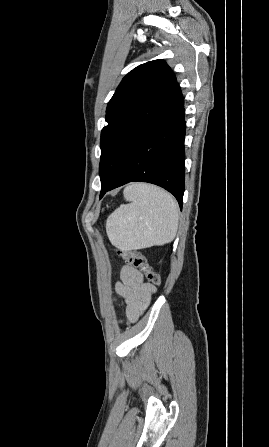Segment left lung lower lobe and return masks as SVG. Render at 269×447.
Here are the masks:
<instances>
[{
    "label": "left lung lower lobe",
    "mask_w": 269,
    "mask_h": 447,
    "mask_svg": "<svg viewBox=\"0 0 269 447\" xmlns=\"http://www.w3.org/2000/svg\"><path fill=\"white\" fill-rule=\"evenodd\" d=\"M185 128L184 101L177 85L166 113L146 132L115 179L102 186L100 198L126 183L142 181L168 190L182 209Z\"/></svg>",
    "instance_id": "1"
}]
</instances>
